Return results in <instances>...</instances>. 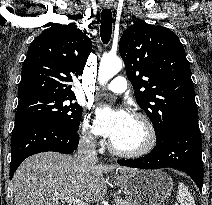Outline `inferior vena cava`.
Instances as JSON below:
<instances>
[{"mask_svg":"<svg viewBox=\"0 0 212 205\" xmlns=\"http://www.w3.org/2000/svg\"><path fill=\"white\" fill-rule=\"evenodd\" d=\"M77 158L83 165L93 164L98 161L96 151V140L90 135H84L80 139Z\"/></svg>","mask_w":212,"mask_h":205,"instance_id":"obj_1","label":"inferior vena cava"}]
</instances>
